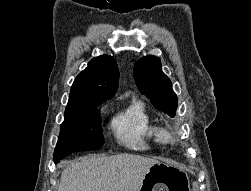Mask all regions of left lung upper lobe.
Returning <instances> with one entry per match:
<instances>
[{"instance_id":"obj_1","label":"left lung upper lobe","mask_w":251,"mask_h":191,"mask_svg":"<svg viewBox=\"0 0 251 191\" xmlns=\"http://www.w3.org/2000/svg\"><path fill=\"white\" fill-rule=\"evenodd\" d=\"M161 68L159 58L145 56L134 65V79L140 92L146 95L157 109L174 117L178 99L172 90L170 79Z\"/></svg>"}]
</instances>
